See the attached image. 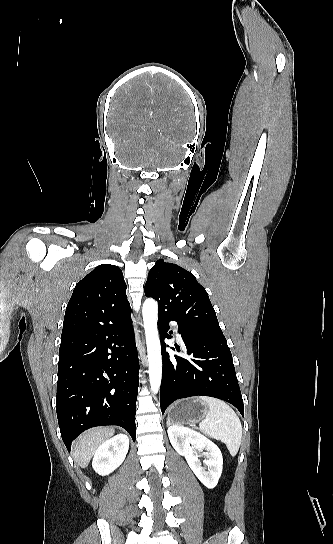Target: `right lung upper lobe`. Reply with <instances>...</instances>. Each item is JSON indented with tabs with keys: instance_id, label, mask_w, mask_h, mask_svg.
I'll use <instances>...</instances> for the list:
<instances>
[{
	"instance_id": "1",
	"label": "right lung upper lobe",
	"mask_w": 333,
	"mask_h": 544,
	"mask_svg": "<svg viewBox=\"0 0 333 544\" xmlns=\"http://www.w3.org/2000/svg\"><path fill=\"white\" fill-rule=\"evenodd\" d=\"M129 313L121 269L99 265L76 284L65 311L61 339L116 323Z\"/></svg>"
}]
</instances>
